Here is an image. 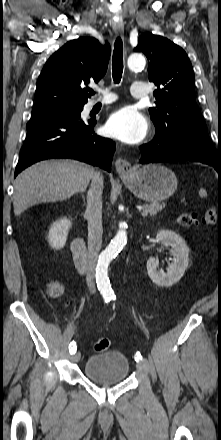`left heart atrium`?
I'll use <instances>...</instances> for the list:
<instances>
[{
  "mask_svg": "<svg viewBox=\"0 0 221 440\" xmlns=\"http://www.w3.org/2000/svg\"><path fill=\"white\" fill-rule=\"evenodd\" d=\"M147 128L145 117L132 107L114 112L106 123L108 135L129 144L141 141Z\"/></svg>",
  "mask_w": 221,
  "mask_h": 440,
  "instance_id": "1",
  "label": "left heart atrium"
}]
</instances>
